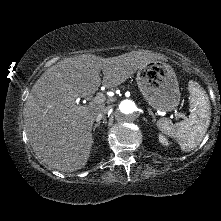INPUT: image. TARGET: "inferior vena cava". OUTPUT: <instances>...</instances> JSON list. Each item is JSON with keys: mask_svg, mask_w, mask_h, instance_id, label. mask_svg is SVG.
Returning a JSON list of instances; mask_svg holds the SVG:
<instances>
[{"mask_svg": "<svg viewBox=\"0 0 221 221\" xmlns=\"http://www.w3.org/2000/svg\"><path fill=\"white\" fill-rule=\"evenodd\" d=\"M109 111L108 107H104L100 110V112L96 115L95 120L97 122H100L102 120V118L107 114V112Z\"/></svg>", "mask_w": 221, "mask_h": 221, "instance_id": "inferior-vena-cava-1", "label": "inferior vena cava"}]
</instances>
